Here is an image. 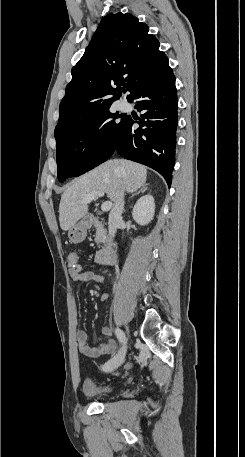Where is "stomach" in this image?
I'll list each match as a JSON object with an SVG mask.
<instances>
[{
    "label": "stomach",
    "instance_id": "stomach-1",
    "mask_svg": "<svg viewBox=\"0 0 245 457\" xmlns=\"http://www.w3.org/2000/svg\"><path fill=\"white\" fill-rule=\"evenodd\" d=\"M87 229H89V222L87 220H79L77 224H73L68 231V237L72 243H82L87 237Z\"/></svg>",
    "mask_w": 245,
    "mask_h": 457
}]
</instances>
